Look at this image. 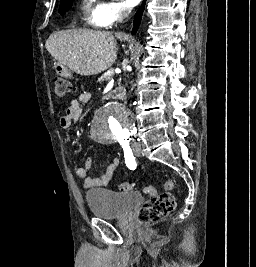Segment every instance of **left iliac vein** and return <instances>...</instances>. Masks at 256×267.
I'll list each match as a JSON object with an SVG mask.
<instances>
[{
  "mask_svg": "<svg viewBox=\"0 0 256 267\" xmlns=\"http://www.w3.org/2000/svg\"><path fill=\"white\" fill-rule=\"evenodd\" d=\"M133 152L136 156H140L141 155V147L138 143H134L133 144Z\"/></svg>",
  "mask_w": 256,
  "mask_h": 267,
  "instance_id": "obj_1",
  "label": "left iliac vein"
}]
</instances>
